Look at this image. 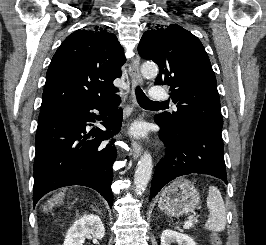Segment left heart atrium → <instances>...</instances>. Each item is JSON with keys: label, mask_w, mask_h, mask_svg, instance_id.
I'll return each mask as SVG.
<instances>
[{"label": "left heart atrium", "mask_w": 266, "mask_h": 245, "mask_svg": "<svg viewBox=\"0 0 266 245\" xmlns=\"http://www.w3.org/2000/svg\"><path fill=\"white\" fill-rule=\"evenodd\" d=\"M133 133L135 135H142L144 134V129L142 126H136L134 129H133Z\"/></svg>", "instance_id": "1"}]
</instances>
